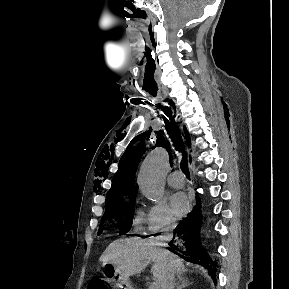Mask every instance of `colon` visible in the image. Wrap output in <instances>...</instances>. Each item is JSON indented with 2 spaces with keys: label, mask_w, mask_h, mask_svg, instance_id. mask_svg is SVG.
I'll return each instance as SVG.
<instances>
[{
  "label": "colon",
  "mask_w": 289,
  "mask_h": 289,
  "mask_svg": "<svg viewBox=\"0 0 289 289\" xmlns=\"http://www.w3.org/2000/svg\"><path fill=\"white\" fill-rule=\"evenodd\" d=\"M87 289H109V287L102 279L94 278L88 283Z\"/></svg>",
  "instance_id": "obj_1"
}]
</instances>
